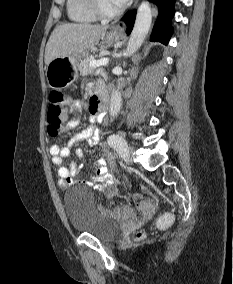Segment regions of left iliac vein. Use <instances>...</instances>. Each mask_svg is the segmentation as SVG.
Returning a JSON list of instances; mask_svg holds the SVG:
<instances>
[{
    "instance_id": "left-iliac-vein-1",
    "label": "left iliac vein",
    "mask_w": 233,
    "mask_h": 284,
    "mask_svg": "<svg viewBox=\"0 0 233 284\" xmlns=\"http://www.w3.org/2000/svg\"><path fill=\"white\" fill-rule=\"evenodd\" d=\"M132 153H133V148L128 147V148H127V151H126V153H125V155H124V159H125V161H126L127 163H129V162L131 161V155H132Z\"/></svg>"
}]
</instances>
